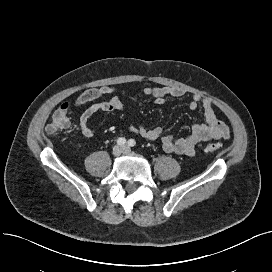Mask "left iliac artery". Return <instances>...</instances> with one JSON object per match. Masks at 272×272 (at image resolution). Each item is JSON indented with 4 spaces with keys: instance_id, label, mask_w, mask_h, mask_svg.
Masks as SVG:
<instances>
[{
    "instance_id": "left-iliac-artery-1",
    "label": "left iliac artery",
    "mask_w": 272,
    "mask_h": 272,
    "mask_svg": "<svg viewBox=\"0 0 272 272\" xmlns=\"http://www.w3.org/2000/svg\"><path fill=\"white\" fill-rule=\"evenodd\" d=\"M135 145H136V142H135L134 139H130V140L128 141V146L134 147Z\"/></svg>"
}]
</instances>
